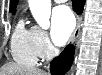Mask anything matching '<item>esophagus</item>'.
I'll return each mask as SVG.
<instances>
[{
	"label": "esophagus",
	"instance_id": "34e87169",
	"mask_svg": "<svg viewBox=\"0 0 102 75\" xmlns=\"http://www.w3.org/2000/svg\"><path fill=\"white\" fill-rule=\"evenodd\" d=\"M80 24H81V17L79 16L78 17V23H77L76 29L74 30V32H73V34L71 36V39H70V42L73 45H75V43L77 42V39L79 37V34H80Z\"/></svg>",
	"mask_w": 102,
	"mask_h": 75
}]
</instances>
